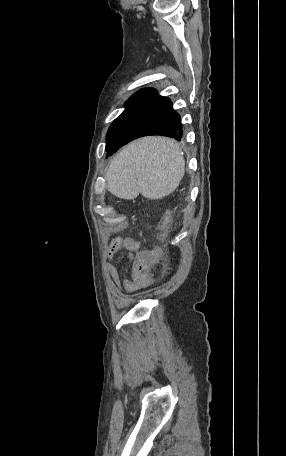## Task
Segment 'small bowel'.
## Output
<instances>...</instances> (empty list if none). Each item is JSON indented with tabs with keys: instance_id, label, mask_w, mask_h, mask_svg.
Returning a JSON list of instances; mask_svg holds the SVG:
<instances>
[{
	"instance_id": "obj_1",
	"label": "small bowel",
	"mask_w": 286,
	"mask_h": 456,
	"mask_svg": "<svg viewBox=\"0 0 286 456\" xmlns=\"http://www.w3.org/2000/svg\"><path fill=\"white\" fill-rule=\"evenodd\" d=\"M138 248L139 243L137 241L124 237H116L112 239L108 248V258L110 262L107 265V269L109 275L119 288L123 287L128 292H134L140 287L127 275H125L121 280L119 271L114 262L120 261L124 256L132 258L133 253ZM120 253L121 256H119ZM125 272H127V269H125Z\"/></svg>"
}]
</instances>
